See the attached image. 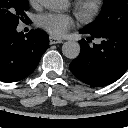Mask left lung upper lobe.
Instances as JSON below:
<instances>
[{
	"label": "left lung upper lobe",
	"instance_id": "left-lung-upper-lobe-1",
	"mask_svg": "<svg viewBox=\"0 0 128 128\" xmlns=\"http://www.w3.org/2000/svg\"><path fill=\"white\" fill-rule=\"evenodd\" d=\"M128 28V0H104L98 19L86 29L99 34Z\"/></svg>",
	"mask_w": 128,
	"mask_h": 128
}]
</instances>
